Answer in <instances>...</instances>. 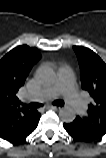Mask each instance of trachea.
I'll use <instances>...</instances> for the list:
<instances>
[{"label": "trachea", "instance_id": "obj_1", "mask_svg": "<svg viewBox=\"0 0 106 158\" xmlns=\"http://www.w3.org/2000/svg\"><path fill=\"white\" fill-rule=\"evenodd\" d=\"M62 102L59 101V100H56L53 102V105H58V104H61ZM37 106H40V104H37V103H32L29 105L30 108H34V107H37Z\"/></svg>", "mask_w": 106, "mask_h": 158}]
</instances>
